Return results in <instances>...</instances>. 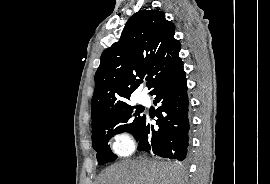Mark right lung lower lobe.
Here are the masks:
<instances>
[{
    "instance_id": "right-lung-lower-lobe-1",
    "label": "right lung lower lobe",
    "mask_w": 270,
    "mask_h": 184,
    "mask_svg": "<svg viewBox=\"0 0 270 184\" xmlns=\"http://www.w3.org/2000/svg\"><path fill=\"white\" fill-rule=\"evenodd\" d=\"M156 95L158 129L144 118L135 138L138 150L157 156L182 161L187 155L189 140L188 95L183 63L180 60L166 75L152 87Z\"/></svg>"
}]
</instances>
